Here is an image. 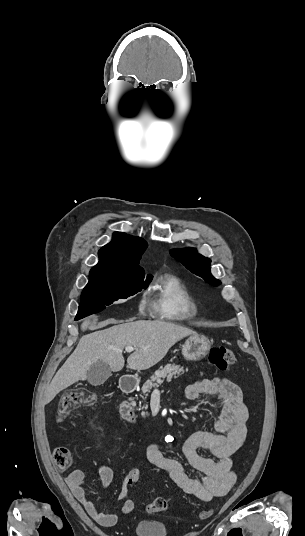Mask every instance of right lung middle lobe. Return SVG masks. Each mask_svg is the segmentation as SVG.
Instances as JSON below:
<instances>
[{"label":"right lung middle lobe","instance_id":"obj_1","mask_svg":"<svg viewBox=\"0 0 305 536\" xmlns=\"http://www.w3.org/2000/svg\"><path fill=\"white\" fill-rule=\"evenodd\" d=\"M151 279L150 277L146 280L144 278L123 280L90 279L82 291L76 318L82 319L93 313L100 312L114 301L125 299L140 292L142 289H146Z\"/></svg>","mask_w":305,"mask_h":536}]
</instances>
